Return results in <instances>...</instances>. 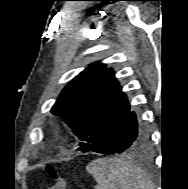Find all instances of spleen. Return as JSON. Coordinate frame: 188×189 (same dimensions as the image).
Returning <instances> with one entry per match:
<instances>
[{
  "mask_svg": "<svg viewBox=\"0 0 188 189\" xmlns=\"http://www.w3.org/2000/svg\"><path fill=\"white\" fill-rule=\"evenodd\" d=\"M97 181L95 189H149L145 174L120 158H98L86 166Z\"/></svg>",
  "mask_w": 188,
  "mask_h": 189,
  "instance_id": "1",
  "label": "spleen"
}]
</instances>
